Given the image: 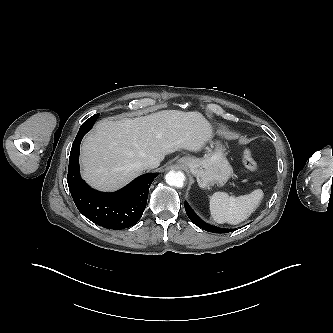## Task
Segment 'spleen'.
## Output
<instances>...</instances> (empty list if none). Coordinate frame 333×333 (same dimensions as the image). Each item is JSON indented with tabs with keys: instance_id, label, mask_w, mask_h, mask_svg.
<instances>
[{
	"instance_id": "3e777b00",
	"label": "spleen",
	"mask_w": 333,
	"mask_h": 333,
	"mask_svg": "<svg viewBox=\"0 0 333 333\" xmlns=\"http://www.w3.org/2000/svg\"><path fill=\"white\" fill-rule=\"evenodd\" d=\"M262 198L261 189L238 197H230L225 192H215L210 198L211 216L220 224H239L249 218L259 206Z\"/></svg>"
}]
</instances>
